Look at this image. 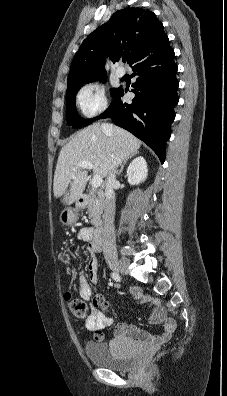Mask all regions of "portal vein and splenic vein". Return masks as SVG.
<instances>
[{
  "mask_svg": "<svg viewBox=\"0 0 227 396\" xmlns=\"http://www.w3.org/2000/svg\"><path fill=\"white\" fill-rule=\"evenodd\" d=\"M78 166H80L81 168L84 169H92L93 168V164L89 161H82L78 164ZM102 177L100 175H94L91 181V185L93 188H98L99 186H101L102 184Z\"/></svg>",
  "mask_w": 227,
  "mask_h": 396,
  "instance_id": "portal-vein-and-splenic-vein-1",
  "label": "portal vein and splenic vein"
}]
</instances>
